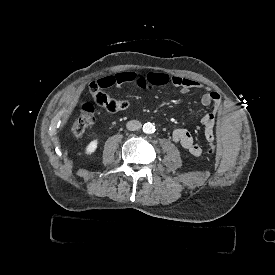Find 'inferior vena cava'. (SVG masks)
<instances>
[{
	"instance_id": "1",
	"label": "inferior vena cava",
	"mask_w": 275,
	"mask_h": 275,
	"mask_svg": "<svg viewBox=\"0 0 275 275\" xmlns=\"http://www.w3.org/2000/svg\"><path fill=\"white\" fill-rule=\"evenodd\" d=\"M141 122L136 121V120H132L127 122L126 124V129L129 131H135V130H139L141 128Z\"/></svg>"
}]
</instances>
